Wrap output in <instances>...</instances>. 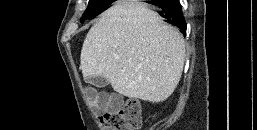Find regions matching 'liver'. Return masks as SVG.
<instances>
[{
	"label": "liver",
	"instance_id": "1",
	"mask_svg": "<svg viewBox=\"0 0 257 130\" xmlns=\"http://www.w3.org/2000/svg\"><path fill=\"white\" fill-rule=\"evenodd\" d=\"M80 60L84 77L102 76L126 97L159 103L180 81L185 42L145 3L120 1L91 27Z\"/></svg>",
	"mask_w": 257,
	"mask_h": 130
}]
</instances>
